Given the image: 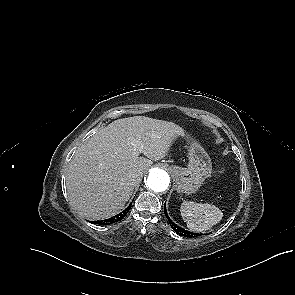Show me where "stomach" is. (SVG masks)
<instances>
[{
	"instance_id": "obj_1",
	"label": "stomach",
	"mask_w": 295,
	"mask_h": 295,
	"mask_svg": "<svg viewBox=\"0 0 295 295\" xmlns=\"http://www.w3.org/2000/svg\"><path fill=\"white\" fill-rule=\"evenodd\" d=\"M178 193H195L211 175L212 163L207 152L197 143L189 147V163L186 168H171Z\"/></svg>"
}]
</instances>
